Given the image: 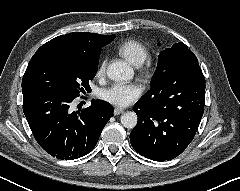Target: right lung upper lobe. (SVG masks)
I'll return each instance as SVG.
<instances>
[{"label": "right lung upper lobe", "instance_id": "obj_1", "mask_svg": "<svg viewBox=\"0 0 240 191\" xmlns=\"http://www.w3.org/2000/svg\"><path fill=\"white\" fill-rule=\"evenodd\" d=\"M115 35L76 32L58 36L42 45L32 58L44 53H58L81 58H99L101 47L113 41Z\"/></svg>", "mask_w": 240, "mask_h": 191}]
</instances>
